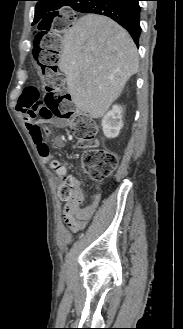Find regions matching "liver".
Segmentation results:
<instances>
[{
  "mask_svg": "<svg viewBox=\"0 0 183 329\" xmlns=\"http://www.w3.org/2000/svg\"><path fill=\"white\" fill-rule=\"evenodd\" d=\"M138 63L129 33L105 16L85 15L64 34L59 68L72 101L92 118L117 100Z\"/></svg>",
  "mask_w": 183,
  "mask_h": 329,
  "instance_id": "6515ba94",
  "label": "liver"
}]
</instances>
